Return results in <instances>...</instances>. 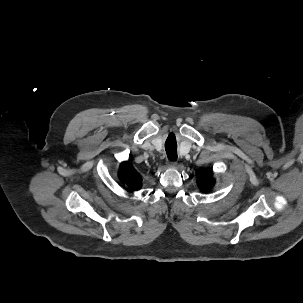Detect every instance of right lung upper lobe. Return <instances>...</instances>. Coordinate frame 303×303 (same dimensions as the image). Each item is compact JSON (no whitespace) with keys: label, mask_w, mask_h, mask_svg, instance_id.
I'll use <instances>...</instances> for the list:
<instances>
[{"label":"right lung upper lobe","mask_w":303,"mask_h":303,"mask_svg":"<svg viewBox=\"0 0 303 303\" xmlns=\"http://www.w3.org/2000/svg\"><path fill=\"white\" fill-rule=\"evenodd\" d=\"M119 178L132 190H139L142 186L140 174L134 169L130 162L120 164Z\"/></svg>","instance_id":"1"}]
</instances>
